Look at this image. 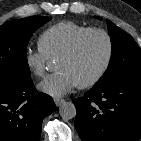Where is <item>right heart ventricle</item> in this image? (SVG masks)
Listing matches in <instances>:
<instances>
[{
	"instance_id": "right-heart-ventricle-1",
	"label": "right heart ventricle",
	"mask_w": 141,
	"mask_h": 141,
	"mask_svg": "<svg viewBox=\"0 0 141 141\" xmlns=\"http://www.w3.org/2000/svg\"><path fill=\"white\" fill-rule=\"evenodd\" d=\"M89 28L73 21L58 22L42 32L39 45L51 58H59L74 39Z\"/></svg>"
}]
</instances>
